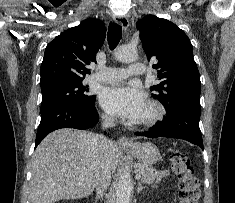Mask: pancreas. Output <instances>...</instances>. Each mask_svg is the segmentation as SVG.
Instances as JSON below:
<instances>
[{"mask_svg": "<svg viewBox=\"0 0 235 203\" xmlns=\"http://www.w3.org/2000/svg\"><path fill=\"white\" fill-rule=\"evenodd\" d=\"M136 171L141 175V181L143 183H152L154 181L158 183L162 178L169 175V171L167 170L158 171L152 166L140 163L136 165Z\"/></svg>", "mask_w": 235, "mask_h": 203, "instance_id": "cf45deb5", "label": "pancreas"}]
</instances>
